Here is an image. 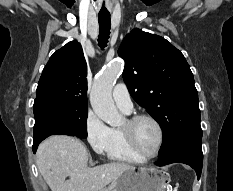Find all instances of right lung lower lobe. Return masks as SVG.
Returning <instances> with one entry per match:
<instances>
[{"mask_svg":"<svg viewBox=\"0 0 233 191\" xmlns=\"http://www.w3.org/2000/svg\"><path fill=\"white\" fill-rule=\"evenodd\" d=\"M48 136H50V135H44V136H41V137H39V138L34 139V143H33V152H34V153L36 152L37 147H38V145L40 144V142H41L42 140H44L45 138H47Z\"/></svg>","mask_w":233,"mask_h":191,"instance_id":"1","label":"right lung lower lobe"}]
</instances>
